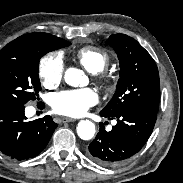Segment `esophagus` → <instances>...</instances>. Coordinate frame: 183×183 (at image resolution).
<instances>
[{
	"label": "esophagus",
	"mask_w": 183,
	"mask_h": 183,
	"mask_svg": "<svg viewBox=\"0 0 183 183\" xmlns=\"http://www.w3.org/2000/svg\"><path fill=\"white\" fill-rule=\"evenodd\" d=\"M75 119L70 118V117H62L61 118V122L65 123V122H74Z\"/></svg>",
	"instance_id": "obj_1"
}]
</instances>
